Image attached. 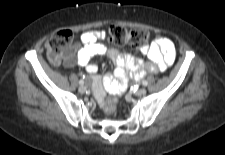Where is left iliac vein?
<instances>
[{
  "instance_id": "obj_1",
  "label": "left iliac vein",
  "mask_w": 225,
  "mask_h": 155,
  "mask_svg": "<svg viewBox=\"0 0 225 155\" xmlns=\"http://www.w3.org/2000/svg\"><path fill=\"white\" fill-rule=\"evenodd\" d=\"M146 89L145 88H140V89H138L137 91H136V95L137 96H143V95H145L146 94Z\"/></svg>"
}]
</instances>
